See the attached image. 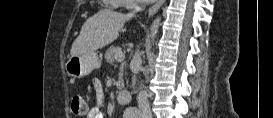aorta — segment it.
Here are the masks:
<instances>
[{
    "instance_id": "762f6f07",
    "label": "aorta",
    "mask_w": 273,
    "mask_h": 118,
    "mask_svg": "<svg viewBox=\"0 0 273 118\" xmlns=\"http://www.w3.org/2000/svg\"><path fill=\"white\" fill-rule=\"evenodd\" d=\"M160 24H161V18L158 17V18H156L154 20V22L151 25V28H150V37H151L152 41H153L154 37L157 34V31H158V28H159Z\"/></svg>"
}]
</instances>
